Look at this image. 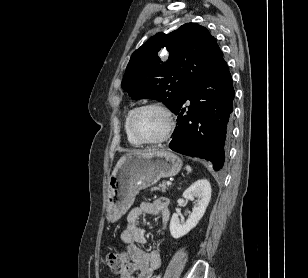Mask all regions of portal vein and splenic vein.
I'll return each mask as SVG.
<instances>
[{
  "instance_id": "obj_1",
  "label": "portal vein and splenic vein",
  "mask_w": 308,
  "mask_h": 278,
  "mask_svg": "<svg viewBox=\"0 0 308 278\" xmlns=\"http://www.w3.org/2000/svg\"><path fill=\"white\" fill-rule=\"evenodd\" d=\"M166 184H167L168 186L172 185V183H171L170 181H168Z\"/></svg>"
}]
</instances>
